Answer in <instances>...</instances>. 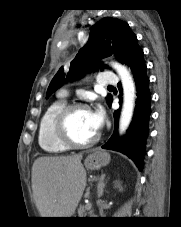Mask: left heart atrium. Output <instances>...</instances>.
<instances>
[{"label": "left heart atrium", "instance_id": "39dd6f15", "mask_svg": "<svg viewBox=\"0 0 181 227\" xmlns=\"http://www.w3.org/2000/svg\"><path fill=\"white\" fill-rule=\"evenodd\" d=\"M90 114L93 126L95 127L96 130H98L103 122V112L101 109H98L96 111L90 112Z\"/></svg>", "mask_w": 181, "mask_h": 227}]
</instances>
